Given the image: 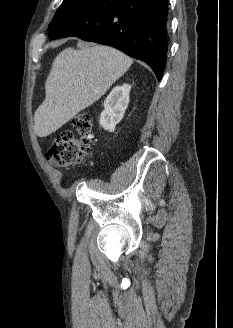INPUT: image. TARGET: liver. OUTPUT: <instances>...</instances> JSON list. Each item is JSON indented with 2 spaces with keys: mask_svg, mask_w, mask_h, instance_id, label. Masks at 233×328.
<instances>
[{
  "mask_svg": "<svg viewBox=\"0 0 233 328\" xmlns=\"http://www.w3.org/2000/svg\"><path fill=\"white\" fill-rule=\"evenodd\" d=\"M132 59L103 45L64 49L52 63L34 131L47 137L96 102L131 66Z\"/></svg>",
  "mask_w": 233,
  "mask_h": 328,
  "instance_id": "6515ba94",
  "label": "liver"
}]
</instances>
